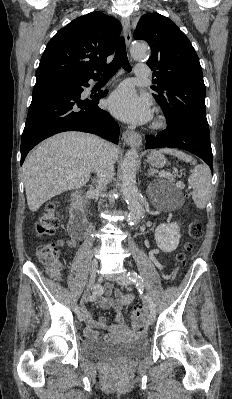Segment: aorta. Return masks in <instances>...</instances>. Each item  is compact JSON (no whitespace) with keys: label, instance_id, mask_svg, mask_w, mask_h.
<instances>
[{"label":"aorta","instance_id":"aorta-1","mask_svg":"<svg viewBox=\"0 0 232 399\" xmlns=\"http://www.w3.org/2000/svg\"><path fill=\"white\" fill-rule=\"evenodd\" d=\"M148 45L146 43H134L130 53L134 59L141 60L146 57ZM138 165V154L136 149L129 150L124 158L121 170V191L129 209L128 221L135 224L144 215L143 206L140 203V193L136 185V173Z\"/></svg>","mask_w":232,"mask_h":399}]
</instances>
